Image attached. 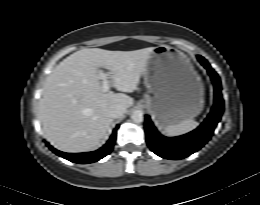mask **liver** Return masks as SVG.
Returning <instances> with one entry per match:
<instances>
[{"label": "liver", "mask_w": 260, "mask_h": 205, "mask_svg": "<svg viewBox=\"0 0 260 205\" xmlns=\"http://www.w3.org/2000/svg\"><path fill=\"white\" fill-rule=\"evenodd\" d=\"M153 47L134 51L81 49L61 61L46 78L38 115L46 139L65 152L97 149L111 131L108 111L115 105L125 109L134 103L124 94L136 90ZM123 93L105 92L100 68ZM126 111V110H125Z\"/></svg>", "instance_id": "6515ba94"}]
</instances>
